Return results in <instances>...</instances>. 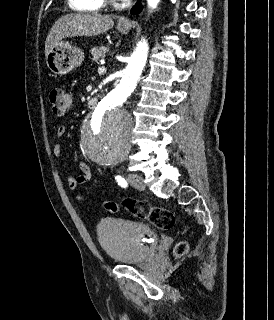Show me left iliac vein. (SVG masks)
I'll list each match as a JSON object with an SVG mask.
<instances>
[{"instance_id":"1","label":"left iliac vein","mask_w":274,"mask_h":320,"mask_svg":"<svg viewBox=\"0 0 274 320\" xmlns=\"http://www.w3.org/2000/svg\"><path fill=\"white\" fill-rule=\"evenodd\" d=\"M128 182L136 189L143 190L145 188L143 178L137 174H128Z\"/></svg>"}]
</instances>
